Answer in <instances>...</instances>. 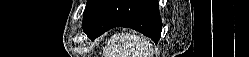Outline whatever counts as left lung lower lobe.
Masks as SVG:
<instances>
[{
  "label": "left lung lower lobe",
  "mask_w": 249,
  "mask_h": 57,
  "mask_svg": "<svg viewBox=\"0 0 249 57\" xmlns=\"http://www.w3.org/2000/svg\"><path fill=\"white\" fill-rule=\"evenodd\" d=\"M82 27L92 39L114 27H129L157 43L162 30L158 1L107 0Z\"/></svg>",
  "instance_id": "obj_1"
}]
</instances>
